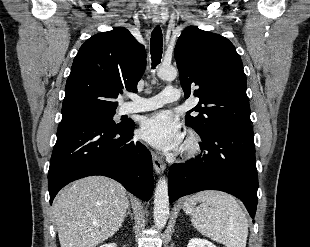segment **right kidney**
Segmentation results:
<instances>
[{"label":"right kidney","mask_w":310,"mask_h":247,"mask_svg":"<svg viewBox=\"0 0 310 247\" xmlns=\"http://www.w3.org/2000/svg\"><path fill=\"white\" fill-rule=\"evenodd\" d=\"M100 247H116V244H105V245H101Z\"/></svg>","instance_id":"obj_1"}]
</instances>
